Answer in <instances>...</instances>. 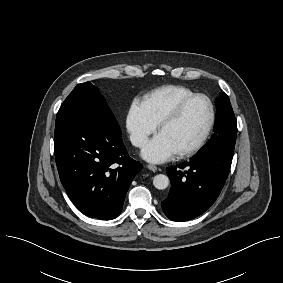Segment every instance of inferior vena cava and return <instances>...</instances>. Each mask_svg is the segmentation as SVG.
<instances>
[{
    "label": "inferior vena cava",
    "instance_id": "1",
    "mask_svg": "<svg viewBox=\"0 0 283 283\" xmlns=\"http://www.w3.org/2000/svg\"><path fill=\"white\" fill-rule=\"evenodd\" d=\"M144 142H145V138L142 137V136H134L132 138V143L135 146H139L140 147V146H142L144 144Z\"/></svg>",
    "mask_w": 283,
    "mask_h": 283
}]
</instances>
